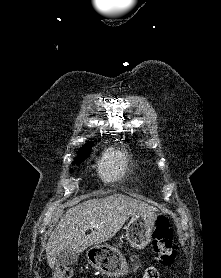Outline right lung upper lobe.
Masks as SVG:
<instances>
[{"label": "right lung upper lobe", "instance_id": "1", "mask_svg": "<svg viewBox=\"0 0 221 278\" xmlns=\"http://www.w3.org/2000/svg\"><path fill=\"white\" fill-rule=\"evenodd\" d=\"M91 145H93V143L85 144L81 149H84V148L89 147V146H91ZM81 149H80V150H81Z\"/></svg>", "mask_w": 221, "mask_h": 278}]
</instances>
